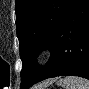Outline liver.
Segmentation results:
<instances>
[{
    "label": "liver",
    "instance_id": "liver-1",
    "mask_svg": "<svg viewBox=\"0 0 89 89\" xmlns=\"http://www.w3.org/2000/svg\"><path fill=\"white\" fill-rule=\"evenodd\" d=\"M53 82H54V80L52 79V80L46 82L44 86H46V85H48V84H51V83H53ZM39 87H41V86H39ZM35 89H40V88L36 87Z\"/></svg>",
    "mask_w": 89,
    "mask_h": 89
}]
</instances>
